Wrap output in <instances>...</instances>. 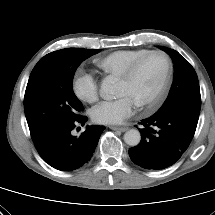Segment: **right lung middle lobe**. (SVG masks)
Segmentation results:
<instances>
[{"mask_svg": "<svg viewBox=\"0 0 215 215\" xmlns=\"http://www.w3.org/2000/svg\"><path fill=\"white\" fill-rule=\"evenodd\" d=\"M100 49L66 48L45 55L34 67L24 96L33 141L76 120L83 111L72 81L77 67Z\"/></svg>", "mask_w": 215, "mask_h": 215, "instance_id": "right-lung-middle-lobe-1", "label": "right lung middle lobe"}]
</instances>
